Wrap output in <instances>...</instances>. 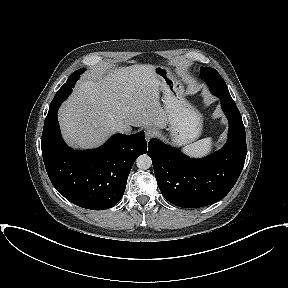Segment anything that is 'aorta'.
Masks as SVG:
<instances>
[{"instance_id":"1","label":"aorta","mask_w":288,"mask_h":288,"mask_svg":"<svg viewBox=\"0 0 288 288\" xmlns=\"http://www.w3.org/2000/svg\"><path fill=\"white\" fill-rule=\"evenodd\" d=\"M136 165L141 170H147L152 165V160L147 154L140 155L136 160Z\"/></svg>"}]
</instances>
